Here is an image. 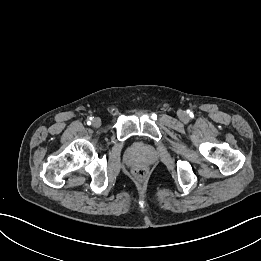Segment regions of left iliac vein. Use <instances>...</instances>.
I'll return each mask as SVG.
<instances>
[{"mask_svg":"<svg viewBox=\"0 0 261 261\" xmlns=\"http://www.w3.org/2000/svg\"><path fill=\"white\" fill-rule=\"evenodd\" d=\"M178 116H179V118H180L181 120H183V121L187 120V118H188L187 114H186L185 112H183V111H180V112L178 113Z\"/></svg>","mask_w":261,"mask_h":261,"instance_id":"left-iliac-vein-1","label":"left iliac vein"}]
</instances>
